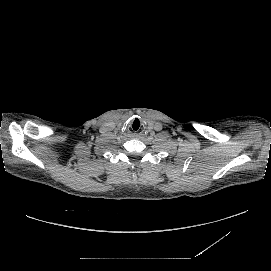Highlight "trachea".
Segmentation results:
<instances>
[{
  "mask_svg": "<svg viewBox=\"0 0 271 271\" xmlns=\"http://www.w3.org/2000/svg\"><path fill=\"white\" fill-rule=\"evenodd\" d=\"M141 122L138 120V119H133L131 122H130V127L133 129V130H140L141 129Z\"/></svg>",
  "mask_w": 271,
  "mask_h": 271,
  "instance_id": "trachea-1",
  "label": "trachea"
}]
</instances>
